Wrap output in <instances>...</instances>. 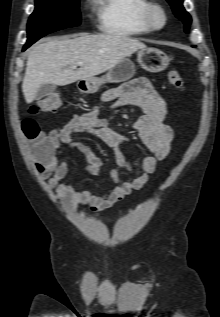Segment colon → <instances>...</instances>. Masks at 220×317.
I'll return each instance as SVG.
<instances>
[{"mask_svg": "<svg viewBox=\"0 0 220 317\" xmlns=\"http://www.w3.org/2000/svg\"><path fill=\"white\" fill-rule=\"evenodd\" d=\"M169 83L178 89H183L184 84L181 75L176 70H171L167 75ZM61 106V98L57 94H49L33 105L30 109L31 116L24 117L21 122V130L26 138L31 153L37 161V168H44L52 163L56 147L50 136H48L32 117L39 113L54 112Z\"/></svg>", "mask_w": 220, "mask_h": 317, "instance_id": "1", "label": "colon"}]
</instances>
